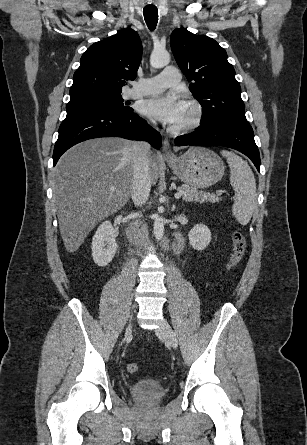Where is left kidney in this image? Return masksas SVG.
Returning a JSON list of instances; mask_svg holds the SVG:
<instances>
[{
    "mask_svg": "<svg viewBox=\"0 0 307 445\" xmlns=\"http://www.w3.org/2000/svg\"><path fill=\"white\" fill-rule=\"evenodd\" d=\"M189 243L196 251H203L211 241V233L206 225H195L189 231Z\"/></svg>",
    "mask_w": 307,
    "mask_h": 445,
    "instance_id": "obj_1",
    "label": "left kidney"
}]
</instances>
